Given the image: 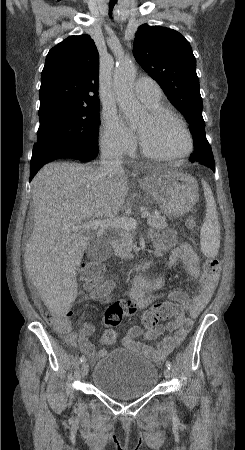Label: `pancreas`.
Instances as JSON below:
<instances>
[{"label": "pancreas", "instance_id": "pancreas-1", "mask_svg": "<svg viewBox=\"0 0 245 450\" xmlns=\"http://www.w3.org/2000/svg\"><path fill=\"white\" fill-rule=\"evenodd\" d=\"M148 225L158 230H162L168 226L165 221V217L161 216L159 212L150 213L148 217ZM118 235L119 239L117 240V244L115 246V254L121 259L133 258L131 251L135 237L134 230L119 229Z\"/></svg>", "mask_w": 245, "mask_h": 450}]
</instances>
